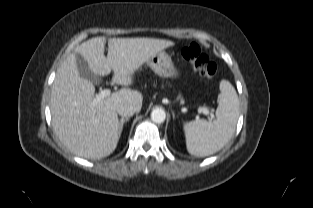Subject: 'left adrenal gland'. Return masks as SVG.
I'll use <instances>...</instances> for the list:
<instances>
[{"label": "left adrenal gland", "mask_w": 313, "mask_h": 208, "mask_svg": "<svg viewBox=\"0 0 313 208\" xmlns=\"http://www.w3.org/2000/svg\"><path fill=\"white\" fill-rule=\"evenodd\" d=\"M172 116H173V119H175V113L172 111Z\"/></svg>", "instance_id": "obj_1"}]
</instances>
